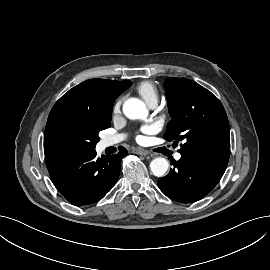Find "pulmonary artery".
I'll return each instance as SVG.
<instances>
[{"label": "pulmonary artery", "instance_id": "e3ab8cb5", "mask_svg": "<svg viewBox=\"0 0 270 270\" xmlns=\"http://www.w3.org/2000/svg\"><path fill=\"white\" fill-rule=\"evenodd\" d=\"M150 108H155L157 106V102L154 101V102H151L149 104ZM125 138L124 135H115V136H109V137H106L104 140H103V145L105 147H109V146H113L115 144H118L120 143L121 141H123ZM181 158V154L180 153H176L175 154V159L179 160Z\"/></svg>", "mask_w": 270, "mask_h": 270}]
</instances>
